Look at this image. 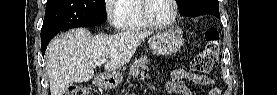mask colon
Here are the masks:
<instances>
[{
    "mask_svg": "<svg viewBox=\"0 0 277 95\" xmlns=\"http://www.w3.org/2000/svg\"><path fill=\"white\" fill-rule=\"evenodd\" d=\"M206 47L193 60V68L200 74H208L217 65L220 55V33L216 28H209L205 32ZM68 95H87V89L80 86H69Z\"/></svg>",
    "mask_w": 277,
    "mask_h": 95,
    "instance_id": "obj_1",
    "label": "colon"
}]
</instances>
